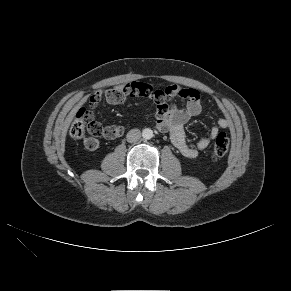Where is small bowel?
<instances>
[{
  "mask_svg": "<svg viewBox=\"0 0 291 291\" xmlns=\"http://www.w3.org/2000/svg\"><path fill=\"white\" fill-rule=\"evenodd\" d=\"M102 97L112 105L123 104L128 98L134 97H145L153 101L157 109V129L161 132H168L173 145L186 158H195L199 150H204L209 146L210 138H215L219 129H225L230 125L228 119L220 118L217 126L211 129L209 136L201 137L195 145L188 143L184 126L192 117L199 115L203 108L201 95L195 88L170 85L164 89H154L144 83L128 82L116 85L104 92L95 93L90 98V104L96 106ZM176 97L186 101L184 107L169 104V101ZM84 144L89 150H95L99 142L97 139L87 138Z\"/></svg>",
  "mask_w": 291,
  "mask_h": 291,
  "instance_id": "c3829d8e",
  "label": "small bowel"
}]
</instances>
